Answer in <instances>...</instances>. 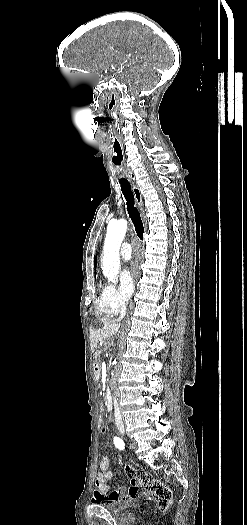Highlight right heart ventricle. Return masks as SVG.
I'll use <instances>...</instances> for the list:
<instances>
[{
	"label": "right heart ventricle",
	"instance_id": "obj_1",
	"mask_svg": "<svg viewBox=\"0 0 247 525\" xmlns=\"http://www.w3.org/2000/svg\"><path fill=\"white\" fill-rule=\"evenodd\" d=\"M119 311L109 309L102 301H98L95 306L96 317H115Z\"/></svg>",
	"mask_w": 247,
	"mask_h": 525
}]
</instances>
